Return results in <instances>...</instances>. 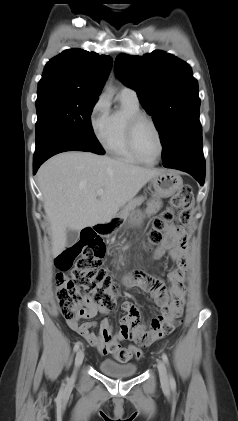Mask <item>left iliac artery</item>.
I'll use <instances>...</instances> for the list:
<instances>
[{
    "instance_id": "obj_1",
    "label": "left iliac artery",
    "mask_w": 238,
    "mask_h": 421,
    "mask_svg": "<svg viewBox=\"0 0 238 421\" xmlns=\"http://www.w3.org/2000/svg\"><path fill=\"white\" fill-rule=\"evenodd\" d=\"M162 359L167 365L169 364L168 357L165 353L162 354ZM170 386L173 390L176 388V382L172 374H170Z\"/></svg>"
}]
</instances>
